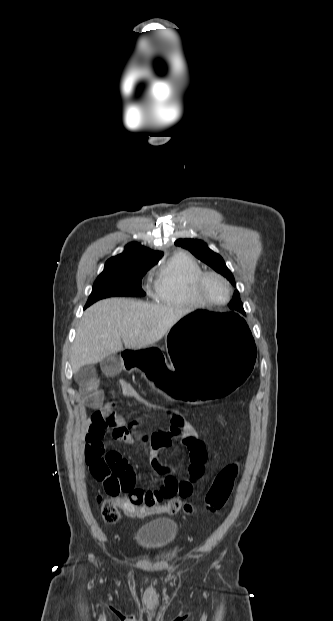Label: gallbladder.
<instances>
[{"instance_id": "1", "label": "gallbladder", "mask_w": 333, "mask_h": 621, "mask_svg": "<svg viewBox=\"0 0 333 621\" xmlns=\"http://www.w3.org/2000/svg\"><path fill=\"white\" fill-rule=\"evenodd\" d=\"M94 374L95 370L93 366L86 365L79 368V370L75 372V380L78 383H86L93 378Z\"/></svg>"}]
</instances>
